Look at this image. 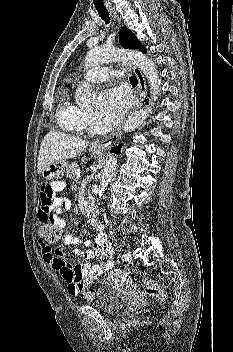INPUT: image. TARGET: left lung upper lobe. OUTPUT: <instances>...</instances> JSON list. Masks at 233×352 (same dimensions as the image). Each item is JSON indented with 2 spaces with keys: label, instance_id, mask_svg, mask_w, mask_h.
<instances>
[{
  "label": "left lung upper lobe",
  "instance_id": "5c2ea615",
  "mask_svg": "<svg viewBox=\"0 0 233 352\" xmlns=\"http://www.w3.org/2000/svg\"><path fill=\"white\" fill-rule=\"evenodd\" d=\"M119 42L125 48L139 49L140 51L146 53V49L143 47L141 42L136 38L134 33L126 27H123L120 30ZM68 65L69 63L67 64V66Z\"/></svg>",
  "mask_w": 233,
  "mask_h": 352
}]
</instances>
